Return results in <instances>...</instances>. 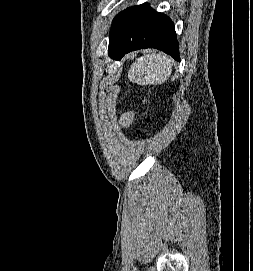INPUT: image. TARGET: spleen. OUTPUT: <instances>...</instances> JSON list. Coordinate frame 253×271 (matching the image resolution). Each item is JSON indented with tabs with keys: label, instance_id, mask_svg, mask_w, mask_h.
Returning <instances> with one entry per match:
<instances>
[{
	"label": "spleen",
	"instance_id": "3e777b00",
	"mask_svg": "<svg viewBox=\"0 0 253 271\" xmlns=\"http://www.w3.org/2000/svg\"><path fill=\"white\" fill-rule=\"evenodd\" d=\"M171 61L161 53H148L134 62L128 71V78L139 84H162L171 75Z\"/></svg>",
	"mask_w": 253,
	"mask_h": 271
}]
</instances>
